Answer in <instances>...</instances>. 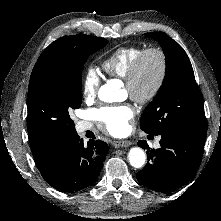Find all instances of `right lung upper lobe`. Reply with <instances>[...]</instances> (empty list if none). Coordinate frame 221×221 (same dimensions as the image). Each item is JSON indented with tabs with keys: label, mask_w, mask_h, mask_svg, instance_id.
<instances>
[{
	"label": "right lung upper lobe",
	"mask_w": 221,
	"mask_h": 221,
	"mask_svg": "<svg viewBox=\"0 0 221 221\" xmlns=\"http://www.w3.org/2000/svg\"><path fill=\"white\" fill-rule=\"evenodd\" d=\"M80 35L64 36L51 43L42 52L34 67H37L45 58L55 53H60L75 47ZM30 146L35 163L38 168H42L50 159L56 148L68 138L77 135L75 131L63 133L51 132L45 129L35 127L27 121Z\"/></svg>",
	"instance_id": "1"
}]
</instances>
